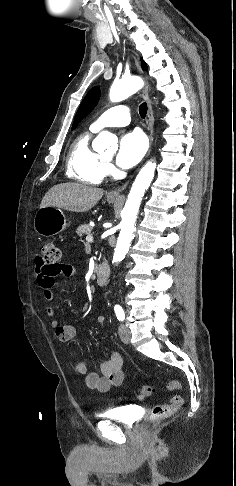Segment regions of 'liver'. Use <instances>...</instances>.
Returning a JSON list of instances; mask_svg holds the SVG:
<instances>
[{
  "instance_id": "6515ba94",
  "label": "liver",
  "mask_w": 236,
  "mask_h": 486,
  "mask_svg": "<svg viewBox=\"0 0 236 486\" xmlns=\"http://www.w3.org/2000/svg\"><path fill=\"white\" fill-rule=\"evenodd\" d=\"M103 196V190L80 183H63L53 186L43 197L40 208L58 207L71 212H87Z\"/></svg>"
}]
</instances>
